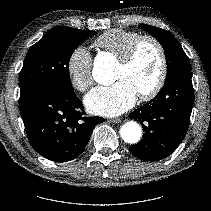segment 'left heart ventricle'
<instances>
[{
	"label": "left heart ventricle",
	"mask_w": 211,
	"mask_h": 211,
	"mask_svg": "<svg viewBox=\"0 0 211 211\" xmlns=\"http://www.w3.org/2000/svg\"><path fill=\"white\" fill-rule=\"evenodd\" d=\"M160 72V58L157 48L151 42H144L132 62L126 68L117 65L113 80H126L141 94L150 90Z\"/></svg>",
	"instance_id": "b2bd125f"
}]
</instances>
